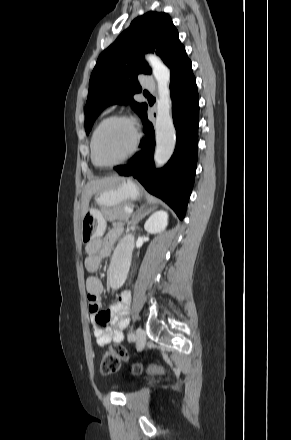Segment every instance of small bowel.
I'll return each mask as SVG.
<instances>
[{"label":"small bowel","instance_id":"1","mask_svg":"<svg viewBox=\"0 0 291 440\" xmlns=\"http://www.w3.org/2000/svg\"><path fill=\"white\" fill-rule=\"evenodd\" d=\"M123 234V228L119 225L114 226L104 237L94 240L87 246V257L85 267L89 272H96L100 267L101 260L107 257L115 243ZM88 292L89 312L94 323V337L97 345L104 347L110 343L118 342L122 339L121 328L130 315L131 294L128 290L121 291L117 296V303L108 310H101L100 295L103 285L99 277L90 275L85 281ZM108 316L111 324L106 329L101 324V319Z\"/></svg>","mask_w":291,"mask_h":440}]
</instances>
